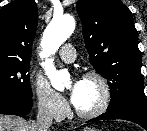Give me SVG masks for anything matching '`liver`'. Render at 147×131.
I'll list each match as a JSON object with an SVG mask.
<instances>
[{
	"label": "liver",
	"mask_w": 147,
	"mask_h": 131,
	"mask_svg": "<svg viewBox=\"0 0 147 131\" xmlns=\"http://www.w3.org/2000/svg\"><path fill=\"white\" fill-rule=\"evenodd\" d=\"M0 131H38V127L17 116L0 115Z\"/></svg>",
	"instance_id": "obj_1"
}]
</instances>
